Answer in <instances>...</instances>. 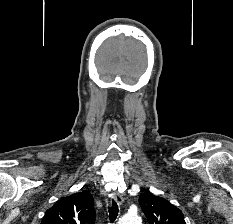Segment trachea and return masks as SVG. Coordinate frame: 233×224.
<instances>
[{"mask_svg":"<svg viewBox=\"0 0 233 224\" xmlns=\"http://www.w3.org/2000/svg\"><path fill=\"white\" fill-rule=\"evenodd\" d=\"M118 212H119L118 205L116 201L112 200V204L109 207V216L111 223H113L116 220L118 216Z\"/></svg>","mask_w":233,"mask_h":224,"instance_id":"3493384b","label":"trachea"}]
</instances>
